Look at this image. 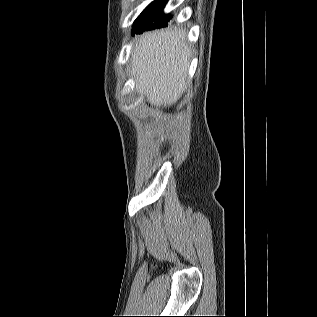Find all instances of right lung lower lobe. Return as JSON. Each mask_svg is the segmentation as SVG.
Returning a JSON list of instances; mask_svg holds the SVG:
<instances>
[{
	"label": "right lung lower lobe",
	"instance_id": "obj_1",
	"mask_svg": "<svg viewBox=\"0 0 317 317\" xmlns=\"http://www.w3.org/2000/svg\"><path fill=\"white\" fill-rule=\"evenodd\" d=\"M151 29H153V28H150V27H149V28H147L146 30H151ZM142 32H143V31H140V32H138V33H142Z\"/></svg>",
	"mask_w": 317,
	"mask_h": 317
}]
</instances>
